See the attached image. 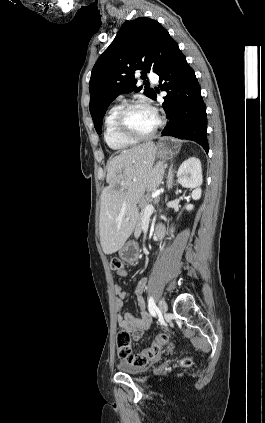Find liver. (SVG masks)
Listing matches in <instances>:
<instances>
[{"label":"liver","instance_id":"obj_1","mask_svg":"<svg viewBox=\"0 0 265 423\" xmlns=\"http://www.w3.org/2000/svg\"><path fill=\"white\" fill-rule=\"evenodd\" d=\"M157 148L152 141L126 149L107 163L106 187L101 196L100 243L105 254L120 250L132 234L137 204L145 192L155 191L164 176L162 162L155 164Z\"/></svg>","mask_w":265,"mask_h":423}]
</instances>
